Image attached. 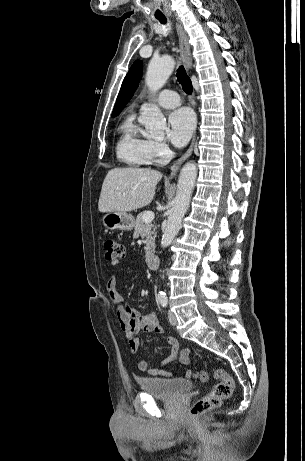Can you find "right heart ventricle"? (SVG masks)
<instances>
[{"label": "right heart ventricle", "mask_w": 305, "mask_h": 461, "mask_svg": "<svg viewBox=\"0 0 305 461\" xmlns=\"http://www.w3.org/2000/svg\"><path fill=\"white\" fill-rule=\"evenodd\" d=\"M153 141L138 127L134 115H129L120 126L117 156L125 164L139 167L154 161Z\"/></svg>", "instance_id": "e07e8e85"}]
</instances>
